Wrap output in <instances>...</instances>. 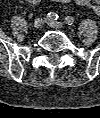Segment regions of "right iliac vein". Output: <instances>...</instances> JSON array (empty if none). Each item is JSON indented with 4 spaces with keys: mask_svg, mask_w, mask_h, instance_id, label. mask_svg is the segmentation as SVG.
<instances>
[{
    "mask_svg": "<svg viewBox=\"0 0 100 118\" xmlns=\"http://www.w3.org/2000/svg\"><path fill=\"white\" fill-rule=\"evenodd\" d=\"M45 21L46 20L44 18H37V19H35L33 26L36 29H40L44 25Z\"/></svg>",
    "mask_w": 100,
    "mask_h": 118,
    "instance_id": "63e3f726",
    "label": "right iliac vein"
}]
</instances>
